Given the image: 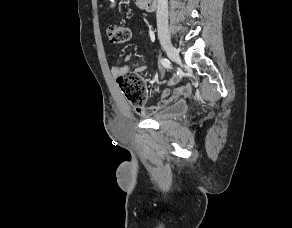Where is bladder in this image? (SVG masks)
<instances>
[{
  "label": "bladder",
  "instance_id": "bladder-1",
  "mask_svg": "<svg viewBox=\"0 0 292 228\" xmlns=\"http://www.w3.org/2000/svg\"><path fill=\"white\" fill-rule=\"evenodd\" d=\"M188 111V106L184 101L177 102L170 107L166 112L156 115L153 119L157 122L166 120L178 119L185 115Z\"/></svg>",
  "mask_w": 292,
  "mask_h": 228
}]
</instances>
